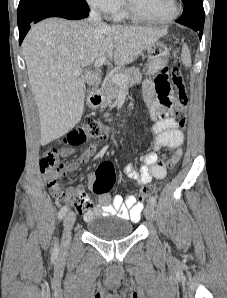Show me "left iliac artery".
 <instances>
[{
    "instance_id": "1",
    "label": "left iliac artery",
    "mask_w": 227,
    "mask_h": 298,
    "mask_svg": "<svg viewBox=\"0 0 227 298\" xmlns=\"http://www.w3.org/2000/svg\"><path fill=\"white\" fill-rule=\"evenodd\" d=\"M149 201H150V203L152 204V205H156V198L154 197V196H151L150 198H149Z\"/></svg>"
}]
</instances>
